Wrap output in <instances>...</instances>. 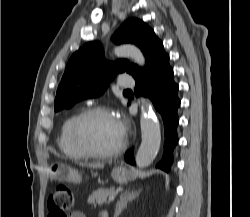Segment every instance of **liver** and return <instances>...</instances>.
<instances>
[{
  "label": "liver",
  "mask_w": 250,
  "mask_h": 217,
  "mask_svg": "<svg viewBox=\"0 0 250 217\" xmlns=\"http://www.w3.org/2000/svg\"><path fill=\"white\" fill-rule=\"evenodd\" d=\"M91 167H94V168H101V166H93V165H90Z\"/></svg>",
  "instance_id": "6515ba94"
}]
</instances>
